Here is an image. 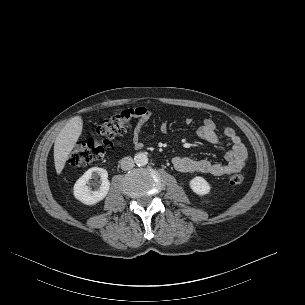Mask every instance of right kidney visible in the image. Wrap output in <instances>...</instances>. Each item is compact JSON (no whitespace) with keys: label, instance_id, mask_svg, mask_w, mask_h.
<instances>
[{"label":"right kidney","instance_id":"ca27d5eb","mask_svg":"<svg viewBox=\"0 0 305 305\" xmlns=\"http://www.w3.org/2000/svg\"><path fill=\"white\" fill-rule=\"evenodd\" d=\"M100 177L97 189L92 191L87 183L92 178ZM110 189L108 173L105 169L93 167L87 170L75 183L73 194L77 200L86 205H94L103 200Z\"/></svg>","mask_w":305,"mask_h":305}]
</instances>
